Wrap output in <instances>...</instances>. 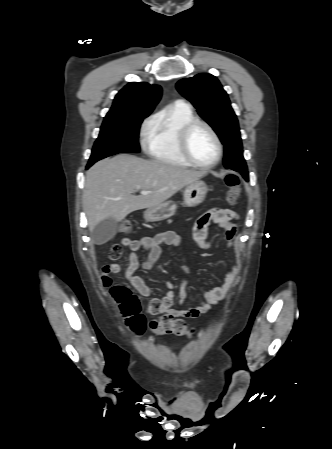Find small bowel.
<instances>
[{
	"mask_svg": "<svg viewBox=\"0 0 332 449\" xmlns=\"http://www.w3.org/2000/svg\"><path fill=\"white\" fill-rule=\"evenodd\" d=\"M238 218L236 212L225 208H214L201 214L193 227V238L196 245L201 249H208L210 243L208 241V230L211 224H216L223 231L227 240V247L231 248L237 232L235 220ZM122 243L130 249L128 257V265L125 270V277L129 283L137 290L141 296H149L151 294L150 287L137 274L140 266L145 269H151L158 261L161 255L162 247L173 246L182 248L181 238L174 232H163L153 237H145L141 240L123 239ZM144 250L147 252V259L140 264L138 252ZM120 271V266L116 263L107 264L102 269L101 281L105 286L112 284V275H116ZM184 278L180 283L179 303L183 304L186 298L185 286L187 284V275L189 269L185 263L181 266ZM239 272L238 264L234 263L227 266L223 282L207 289L202 300L194 307L187 309H174L173 302L175 297V285L167 280L165 286L167 291L162 298H153L149 303L143 305L144 311L149 315L168 314L173 317H184L187 319L198 318L211 310V308L221 301L233 286L236 276Z\"/></svg>",
	"mask_w": 332,
	"mask_h": 449,
	"instance_id": "c3829d8e",
	"label": "small bowel"
}]
</instances>
